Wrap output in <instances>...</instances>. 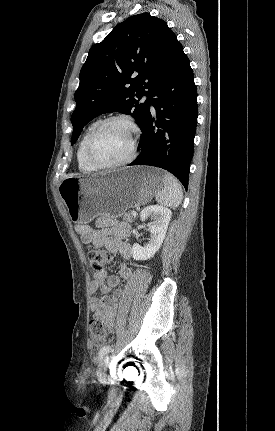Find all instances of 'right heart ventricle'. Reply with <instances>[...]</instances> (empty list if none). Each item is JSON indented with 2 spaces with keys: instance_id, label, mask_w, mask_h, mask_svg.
<instances>
[{
  "instance_id": "obj_1",
  "label": "right heart ventricle",
  "mask_w": 275,
  "mask_h": 431,
  "mask_svg": "<svg viewBox=\"0 0 275 431\" xmlns=\"http://www.w3.org/2000/svg\"><path fill=\"white\" fill-rule=\"evenodd\" d=\"M97 123V121L90 123L86 129L84 130L82 137L80 139V142L78 144V148H77V162H78V167L81 171L83 172H92L96 169H94L91 165L88 164V162L85 159V155H84V144H85V140L89 134V132L91 131V129L95 126V124Z\"/></svg>"
}]
</instances>
